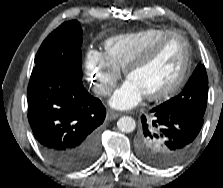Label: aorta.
<instances>
[{
  "label": "aorta",
  "instance_id": "762f6f07",
  "mask_svg": "<svg viewBox=\"0 0 223 188\" xmlns=\"http://www.w3.org/2000/svg\"><path fill=\"white\" fill-rule=\"evenodd\" d=\"M117 127L122 132L130 133L135 130L136 122L132 117L123 116L118 120Z\"/></svg>",
  "mask_w": 223,
  "mask_h": 188
}]
</instances>
